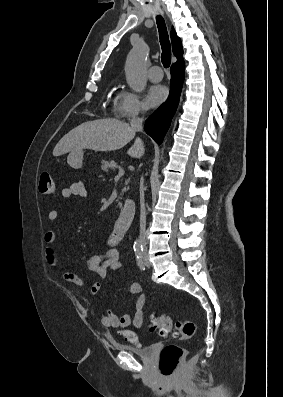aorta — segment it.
<instances>
[{"instance_id":"obj_1","label":"aorta","mask_w":283,"mask_h":397,"mask_svg":"<svg viewBox=\"0 0 283 397\" xmlns=\"http://www.w3.org/2000/svg\"><path fill=\"white\" fill-rule=\"evenodd\" d=\"M149 54V47L145 43H139L129 52L126 64L125 75L130 88L135 92H142L147 83L146 61ZM140 238L134 242V249L141 250Z\"/></svg>"}]
</instances>
